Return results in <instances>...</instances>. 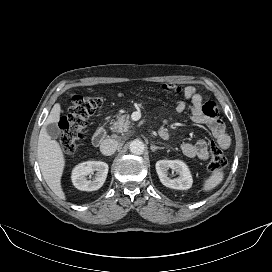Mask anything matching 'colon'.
<instances>
[{"instance_id": "obj_1", "label": "colon", "mask_w": 272, "mask_h": 272, "mask_svg": "<svg viewBox=\"0 0 272 272\" xmlns=\"http://www.w3.org/2000/svg\"><path fill=\"white\" fill-rule=\"evenodd\" d=\"M101 104V98L96 96H73L68 115L62 117L59 122L58 140L64 152L72 153L75 151L89 117ZM210 155V171L213 173L222 172L226 168L227 161L221 148L214 142L210 146Z\"/></svg>"}]
</instances>
